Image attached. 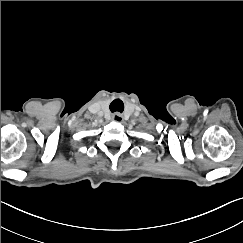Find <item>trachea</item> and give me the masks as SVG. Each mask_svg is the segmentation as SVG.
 I'll use <instances>...</instances> for the list:
<instances>
[{"label": "trachea", "mask_w": 243, "mask_h": 243, "mask_svg": "<svg viewBox=\"0 0 243 243\" xmlns=\"http://www.w3.org/2000/svg\"><path fill=\"white\" fill-rule=\"evenodd\" d=\"M110 110H111V112L118 111V112L122 113L124 110L123 102L120 99H115L110 105Z\"/></svg>", "instance_id": "3493384b"}]
</instances>
